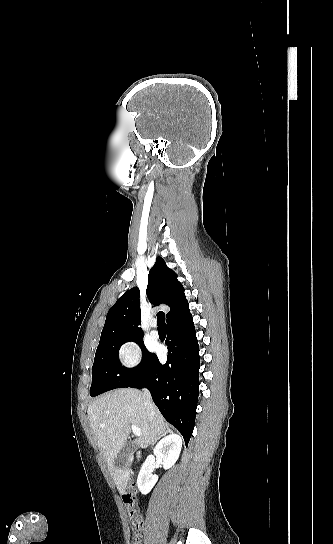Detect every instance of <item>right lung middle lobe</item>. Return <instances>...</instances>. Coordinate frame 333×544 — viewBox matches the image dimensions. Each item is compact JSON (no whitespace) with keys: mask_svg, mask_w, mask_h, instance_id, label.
<instances>
[{"mask_svg":"<svg viewBox=\"0 0 333 544\" xmlns=\"http://www.w3.org/2000/svg\"><path fill=\"white\" fill-rule=\"evenodd\" d=\"M142 338L117 336L100 340L92 367V397L115 388L129 387L141 379L152 355L145 348ZM129 341L136 342L143 353L142 361L134 368L122 366L119 360L120 346Z\"/></svg>","mask_w":333,"mask_h":544,"instance_id":"right-lung-middle-lobe-1","label":"right lung middle lobe"}]
</instances>
